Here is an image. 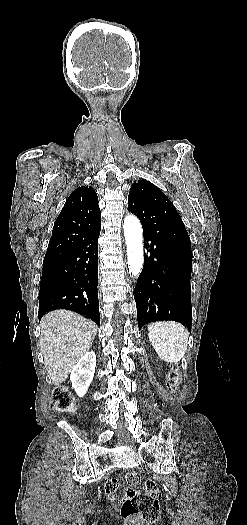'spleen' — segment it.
<instances>
[{"instance_id":"spleen-1","label":"spleen","mask_w":247,"mask_h":525,"mask_svg":"<svg viewBox=\"0 0 247 525\" xmlns=\"http://www.w3.org/2000/svg\"><path fill=\"white\" fill-rule=\"evenodd\" d=\"M149 341L158 357L165 363H175L183 359L187 347L189 333L181 323H150L148 325Z\"/></svg>"}]
</instances>
